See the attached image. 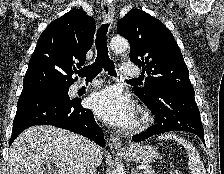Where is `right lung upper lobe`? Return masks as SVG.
I'll list each match as a JSON object with an SVG mask.
<instances>
[{
    "mask_svg": "<svg viewBox=\"0 0 224 174\" xmlns=\"http://www.w3.org/2000/svg\"><path fill=\"white\" fill-rule=\"evenodd\" d=\"M95 33L94 19L83 10H71L54 20L41 34L23 80L22 92L47 85H71L75 66L81 67Z\"/></svg>",
    "mask_w": 224,
    "mask_h": 174,
    "instance_id": "cb5924a9",
    "label": "right lung upper lobe"
}]
</instances>
